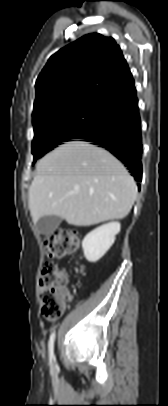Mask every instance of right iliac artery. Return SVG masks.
Masks as SVG:
<instances>
[{
	"label": "right iliac artery",
	"instance_id": "right-iliac-artery-1",
	"mask_svg": "<svg viewBox=\"0 0 168 406\" xmlns=\"http://www.w3.org/2000/svg\"><path fill=\"white\" fill-rule=\"evenodd\" d=\"M54 341H55V332H53L50 335L49 338V358H50V362H52L53 358H54Z\"/></svg>",
	"mask_w": 168,
	"mask_h": 406
}]
</instances>
